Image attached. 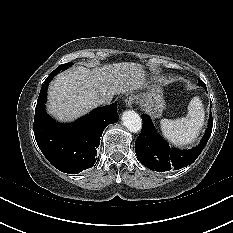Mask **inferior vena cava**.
I'll return each instance as SVG.
<instances>
[{"label":"inferior vena cava","instance_id":"1","mask_svg":"<svg viewBox=\"0 0 233 233\" xmlns=\"http://www.w3.org/2000/svg\"><path fill=\"white\" fill-rule=\"evenodd\" d=\"M112 98L113 96H110V95H104V96H101L98 98V103L99 104H103V105H106V104H110L111 101H112Z\"/></svg>","mask_w":233,"mask_h":233}]
</instances>
